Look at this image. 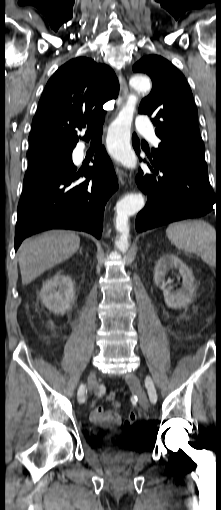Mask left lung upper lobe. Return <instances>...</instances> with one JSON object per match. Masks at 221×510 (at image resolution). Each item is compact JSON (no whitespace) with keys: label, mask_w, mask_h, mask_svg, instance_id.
<instances>
[{"label":"left lung upper lobe","mask_w":221,"mask_h":510,"mask_svg":"<svg viewBox=\"0 0 221 510\" xmlns=\"http://www.w3.org/2000/svg\"><path fill=\"white\" fill-rule=\"evenodd\" d=\"M133 71L152 79L151 93L142 100L139 113L154 116L155 133L162 140L152 149L153 160L159 165L174 163L208 174L198 112L184 75L158 55L143 57Z\"/></svg>","instance_id":"5c2ea615"}]
</instances>
